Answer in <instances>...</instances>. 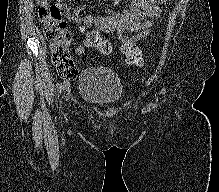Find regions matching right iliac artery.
<instances>
[{
	"label": "right iliac artery",
	"mask_w": 219,
	"mask_h": 192,
	"mask_svg": "<svg viewBox=\"0 0 219 192\" xmlns=\"http://www.w3.org/2000/svg\"><path fill=\"white\" fill-rule=\"evenodd\" d=\"M68 87H69V83H64L63 86L61 87V91L65 90Z\"/></svg>",
	"instance_id": "obj_1"
}]
</instances>
